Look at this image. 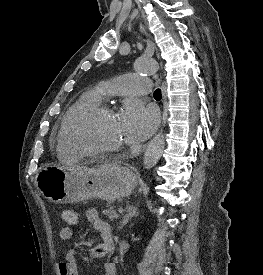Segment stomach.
I'll return each instance as SVG.
<instances>
[{
	"mask_svg": "<svg viewBox=\"0 0 263 275\" xmlns=\"http://www.w3.org/2000/svg\"><path fill=\"white\" fill-rule=\"evenodd\" d=\"M35 183L43 197L56 204L92 198L111 203L131 194L136 177L119 163H104L96 167L48 166L37 174Z\"/></svg>",
	"mask_w": 263,
	"mask_h": 275,
	"instance_id": "stomach-1",
	"label": "stomach"
}]
</instances>
